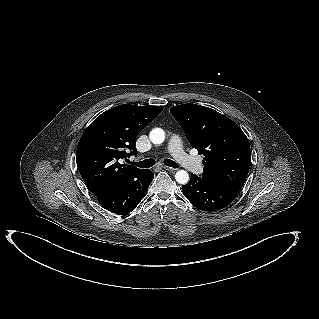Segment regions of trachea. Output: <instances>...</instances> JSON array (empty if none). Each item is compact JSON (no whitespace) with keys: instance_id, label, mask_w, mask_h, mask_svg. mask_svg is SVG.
Instances as JSON below:
<instances>
[{"instance_id":"trachea-1","label":"trachea","mask_w":319,"mask_h":319,"mask_svg":"<svg viewBox=\"0 0 319 319\" xmlns=\"http://www.w3.org/2000/svg\"><path fill=\"white\" fill-rule=\"evenodd\" d=\"M154 163H155L154 159H146V160L140 161L138 163H135V165L140 167V168H149V167H152L154 165ZM164 164L166 166L173 167V168L178 167L177 163L173 160H170V159H165Z\"/></svg>"}]
</instances>
